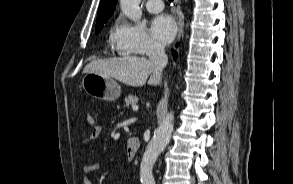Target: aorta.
Masks as SVG:
<instances>
[{"instance_id":"aorta-1","label":"aorta","mask_w":293,"mask_h":184,"mask_svg":"<svg viewBox=\"0 0 293 184\" xmlns=\"http://www.w3.org/2000/svg\"><path fill=\"white\" fill-rule=\"evenodd\" d=\"M140 0H120V7L124 15L133 22L141 19ZM173 112H169L155 131L149 142L140 165V179L142 184H155L152 174L153 166L159 154L168 145L173 132Z\"/></svg>"}]
</instances>
